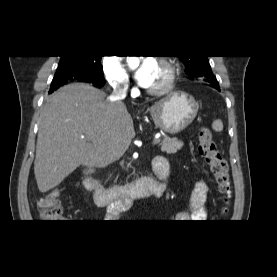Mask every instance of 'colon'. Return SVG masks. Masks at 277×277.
Returning <instances> with one entry per match:
<instances>
[{
  "label": "colon",
  "instance_id": "5ec220e1",
  "mask_svg": "<svg viewBox=\"0 0 277 277\" xmlns=\"http://www.w3.org/2000/svg\"><path fill=\"white\" fill-rule=\"evenodd\" d=\"M198 151L209 166L222 196V201L227 206L232 193L228 164L221 155L211 132L207 128H203L199 133ZM37 206L40 218L44 222H57L63 210L59 194L56 190H52L40 198Z\"/></svg>",
  "mask_w": 277,
  "mask_h": 277
}]
</instances>
